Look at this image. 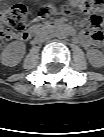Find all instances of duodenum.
I'll use <instances>...</instances> for the list:
<instances>
[{
  "instance_id": "duodenum-1",
  "label": "duodenum",
  "mask_w": 104,
  "mask_h": 137,
  "mask_svg": "<svg viewBox=\"0 0 104 137\" xmlns=\"http://www.w3.org/2000/svg\"><path fill=\"white\" fill-rule=\"evenodd\" d=\"M43 31V28L39 25H35V26H32L26 33V37L29 38V37H32L36 34H39Z\"/></svg>"
}]
</instances>
